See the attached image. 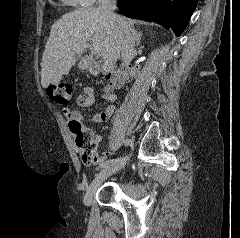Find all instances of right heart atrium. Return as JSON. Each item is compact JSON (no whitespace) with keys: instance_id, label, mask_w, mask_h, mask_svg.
<instances>
[{"instance_id":"obj_1","label":"right heart atrium","mask_w":240,"mask_h":238,"mask_svg":"<svg viewBox=\"0 0 240 238\" xmlns=\"http://www.w3.org/2000/svg\"><path fill=\"white\" fill-rule=\"evenodd\" d=\"M101 1V0H84V2L86 3V5H93L94 3Z\"/></svg>"}]
</instances>
